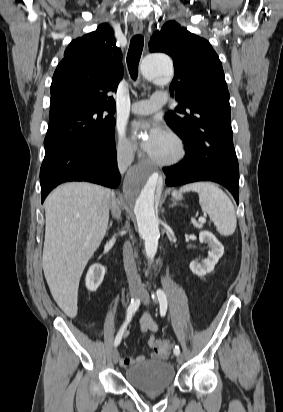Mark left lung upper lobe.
<instances>
[{"label":"left lung upper lobe","mask_w":283,"mask_h":412,"mask_svg":"<svg viewBox=\"0 0 283 412\" xmlns=\"http://www.w3.org/2000/svg\"><path fill=\"white\" fill-rule=\"evenodd\" d=\"M150 52L172 57L175 76L170 91L179 105L166 115L167 124L183 138L192 134L205 153L223 169L238 171L230 122L229 92L218 55L210 43L178 23H165L149 42Z\"/></svg>","instance_id":"5c2ea615"}]
</instances>
